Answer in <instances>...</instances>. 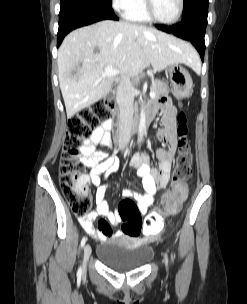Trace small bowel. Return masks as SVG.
Here are the masks:
<instances>
[{"label": "small bowel", "instance_id": "obj_1", "mask_svg": "<svg viewBox=\"0 0 247 304\" xmlns=\"http://www.w3.org/2000/svg\"><path fill=\"white\" fill-rule=\"evenodd\" d=\"M150 109L155 111L163 110V129L157 134V138L168 144V149H158L157 157L159 160L158 168L150 166V157L147 153L136 154L130 160V165L137 169V175L142 181L144 193H138L132 189H124L123 197L134 198L137 201L139 212L146 214L149 207L153 204L154 196L159 189H163L169 182L172 162L177 149V132H176V108L166 98H161L158 102L151 103ZM113 122L108 119L100 126L95 128L91 136L86 139L78 154L82 164L90 169L86 175L87 183L91 182L97 187L95 193L96 210L84 218H80V224L83 229L93 238L104 241L108 238H120L123 232L117 231L112 234L111 225L117 226L121 219L117 213L110 210L109 203L106 199L107 184H101L102 177L106 178L118 170V162L114 158H107V153L97 149L100 144L105 147L112 145L110 131ZM102 216L105 219L99 221L98 228H94L93 221Z\"/></svg>", "mask_w": 247, "mask_h": 304}]
</instances>
